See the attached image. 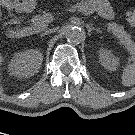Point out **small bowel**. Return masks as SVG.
<instances>
[{"label": "small bowel", "instance_id": "c3829d8e", "mask_svg": "<svg viewBox=\"0 0 135 135\" xmlns=\"http://www.w3.org/2000/svg\"><path fill=\"white\" fill-rule=\"evenodd\" d=\"M92 3L102 17L110 19L114 16L113 8L111 7L108 0H92ZM0 6L4 7L8 12H15L24 9L25 1L0 0ZM0 20H1V13H0Z\"/></svg>", "mask_w": 135, "mask_h": 135}]
</instances>
